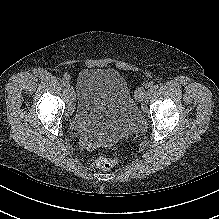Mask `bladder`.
Masks as SVG:
<instances>
[{"mask_svg": "<svg viewBox=\"0 0 219 219\" xmlns=\"http://www.w3.org/2000/svg\"><path fill=\"white\" fill-rule=\"evenodd\" d=\"M76 108L69 119L77 132L108 139L136 134L142 117L124 77L113 69L86 68L77 81Z\"/></svg>", "mask_w": 219, "mask_h": 219, "instance_id": "obj_1", "label": "bladder"}]
</instances>
